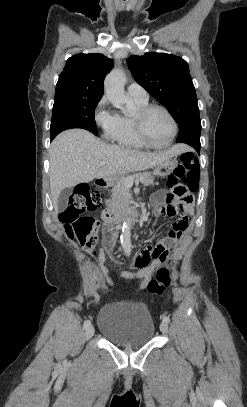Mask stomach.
Segmentation results:
<instances>
[{
	"instance_id": "obj_1",
	"label": "stomach",
	"mask_w": 247,
	"mask_h": 407,
	"mask_svg": "<svg viewBox=\"0 0 247 407\" xmlns=\"http://www.w3.org/2000/svg\"><path fill=\"white\" fill-rule=\"evenodd\" d=\"M178 161L176 158H169L158 164L153 173L160 177H165L170 175L177 167ZM120 178L117 176H112L106 179V182L109 186H112L117 183Z\"/></svg>"
}]
</instances>
